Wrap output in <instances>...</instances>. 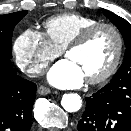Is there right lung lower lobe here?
<instances>
[{"mask_svg":"<svg viewBox=\"0 0 131 131\" xmlns=\"http://www.w3.org/2000/svg\"><path fill=\"white\" fill-rule=\"evenodd\" d=\"M36 84L13 72L11 60L0 57V131H29Z\"/></svg>","mask_w":131,"mask_h":131,"instance_id":"98d812e1","label":"right lung lower lobe"}]
</instances>
